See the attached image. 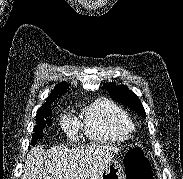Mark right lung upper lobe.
Wrapping results in <instances>:
<instances>
[{"instance_id": "cb5924a9", "label": "right lung upper lobe", "mask_w": 183, "mask_h": 179, "mask_svg": "<svg viewBox=\"0 0 183 179\" xmlns=\"http://www.w3.org/2000/svg\"><path fill=\"white\" fill-rule=\"evenodd\" d=\"M67 88H68V85L65 82L56 85L55 88H54V90L51 91V94L48 97L47 102L44 103L43 106H49V105L51 106L52 101H54L55 99H57V96L58 95L63 94L67 90Z\"/></svg>"}]
</instances>
